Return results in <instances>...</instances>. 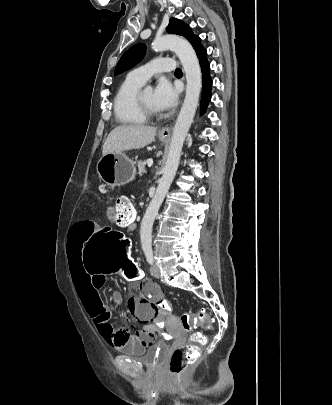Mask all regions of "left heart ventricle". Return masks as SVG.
<instances>
[{"mask_svg": "<svg viewBox=\"0 0 332 405\" xmlns=\"http://www.w3.org/2000/svg\"><path fill=\"white\" fill-rule=\"evenodd\" d=\"M142 98L148 107H150L154 111H158L154 105V96L152 90H146L142 92Z\"/></svg>", "mask_w": 332, "mask_h": 405, "instance_id": "obj_1", "label": "left heart ventricle"}]
</instances>
